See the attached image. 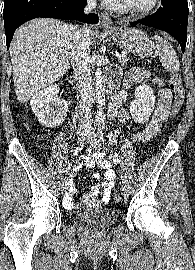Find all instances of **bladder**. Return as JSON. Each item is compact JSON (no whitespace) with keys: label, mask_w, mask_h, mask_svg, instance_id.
<instances>
[{"label":"bladder","mask_w":195,"mask_h":270,"mask_svg":"<svg viewBox=\"0 0 195 270\" xmlns=\"http://www.w3.org/2000/svg\"><path fill=\"white\" fill-rule=\"evenodd\" d=\"M73 218L74 221L81 226L95 223L102 228H107L116 223L118 213L110 208L95 206L76 212Z\"/></svg>","instance_id":"bladder-1"}]
</instances>
